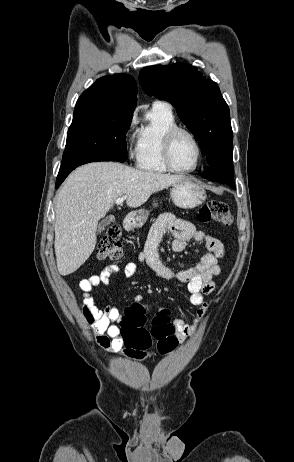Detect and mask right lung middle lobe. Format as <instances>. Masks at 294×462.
<instances>
[{
    "label": "right lung middle lobe",
    "instance_id": "right-lung-middle-lobe-1",
    "mask_svg": "<svg viewBox=\"0 0 294 462\" xmlns=\"http://www.w3.org/2000/svg\"><path fill=\"white\" fill-rule=\"evenodd\" d=\"M133 113L74 110L60 170L94 161L124 162Z\"/></svg>",
    "mask_w": 294,
    "mask_h": 462
}]
</instances>
